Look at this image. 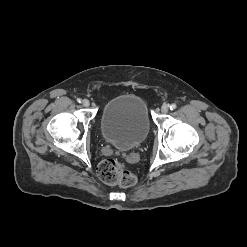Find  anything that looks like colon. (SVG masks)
I'll use <instances>...</instances> for the list:
<instances>
[{"instance_id": "5ec220e1", "label": "colon", "mask_w": 247, "mask_h": 247, "mask_svg": "<svg viewBox=\"0 0 247 247\" xmlns=\"http://www.w3.org/2000/svg\"><path fill=\"white\" fill-rule=\"evenodd\" d=\"M99 178L111 186L130 187L136 183V176L116 159H105L97 168Z\"/></svg>"}]
</instances>
